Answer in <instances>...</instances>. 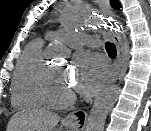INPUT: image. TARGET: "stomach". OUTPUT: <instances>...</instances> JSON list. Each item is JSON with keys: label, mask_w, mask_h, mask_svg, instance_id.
<instances>
[{"label": "stomach", "mask_w": 151, "mask_h": 131, "mask_svg": "<svg viewBox=\"0 0 151 131\" xmlns=\"http://www.w3.org/2000/svg\"><path fill=\"white\" fill-rule=\"evenodd\" d=\"M67 128L72 129V130L75 129V127L72 125H67Z\"/></svg>", "instance_id": "stomach-1"}]
</instances>
